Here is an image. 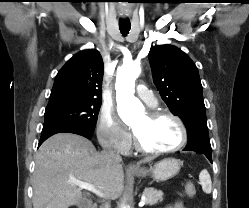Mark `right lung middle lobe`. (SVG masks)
I'll return each instance as SVG.
<instances>
[{
	"mask_svg": "<svg viewBox=\"0 0 249 208\" xmlns=\"http://www.w3.org/2000/svg\"><path fill=\"white\" fill-rule=\"evenodd\" d=\"M101 103V100H86L47 107L44 124L71 125L93 133Z\"/></svg>",
	"mask_w": 249,
	"mask_h": 208,
	"instance_id": "right-lung-middle-lobe-1",
	"label": "right lung middle lobe"
}]
</instances>
